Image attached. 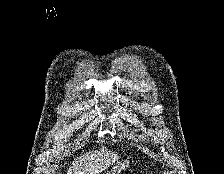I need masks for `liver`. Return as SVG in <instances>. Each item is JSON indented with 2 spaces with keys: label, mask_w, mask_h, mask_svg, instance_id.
<instances>
[{
  "label": "liver",
  "mask_w": 224,
  "mask_h": 174,
  "mask_svg": "<svg viewBox=\"0 0 224 174\" xmlns=\"http://www.w3.org/2000/svg\"><path fill=\"white\" fill-rule=\"evenodd\" d=\"M118 159V154L104 148L90 151L85 155L75 158L72 166L67 170V174H99Z\"/></svg>",
  "instance_id": "liver-1"
}]
</instances>
